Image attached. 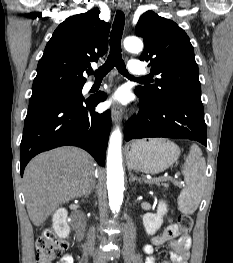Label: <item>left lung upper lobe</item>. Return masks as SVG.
Returning <instances> with one entry per match:
<instances>
[{
    "instance_id": "1",
    "label": "left lung upper lobe",
    "mask_w": 233,
    "mask_h": 263,
    "mask_svg": "<svg viewBox=\"0 0 233 263\" xmlns=\"http://www.w3.org/2000/svg\"><path fill=\"white\" fill-rule=\"evenodd\" d=\"M135 31L145 43L140 60L150 62L151 73L160 75L156 85L136 88L145 100L159 105L175 96L201 98L198 66L185 31L153 11L142 14Z\"/></svg>"
}]
</instances>
